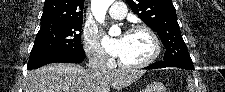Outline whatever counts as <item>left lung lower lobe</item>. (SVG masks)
<instances>
[{
    "mask_svg": "<svg viewBox=\"0 0 225 92\" xmlns=\"http://www.w3.org/2000/svg\"><path fill=\"white\" fill-rule=\"evenodd\" d=\"M165 67H179L186 70H193V62L188 61H173V62H165V61H158L153 63L144 69H157V68H165Z\"/></svg>",
    "mask_w": 225,
    "mask_h": 92,
    "instance_id": "0a47b994",
    "label": "left lung lower lobe"
}]
</instances>
